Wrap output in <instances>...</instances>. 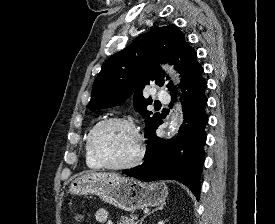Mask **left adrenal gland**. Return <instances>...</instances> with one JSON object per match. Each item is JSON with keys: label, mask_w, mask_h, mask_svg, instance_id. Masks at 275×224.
I'll use <instances>...</instances> for the list:
<instances>
[{"label": "left adrenal gland", "mask_w": 275, "mask_h": 224, "mask_svg": "<svg viewBox=\"0 0 275 224\" xmlns=\"http://www.w3.org/2000/svg\"><path fill=\"white\" fill-rule=\"evenodd\" d=\"M162 209H163V205H161V206L157 207V208H156V209H154L152 212H150L148 215H150L151 213H154L155 211L162 210ZM145 217H146V216H145ZM145 217H144V218H145ZM144 218H142V219H141L140 224H142V222H143Z\"/></svg>", "instance_id": "left-adrenal-gland-1"}]
</instances>
